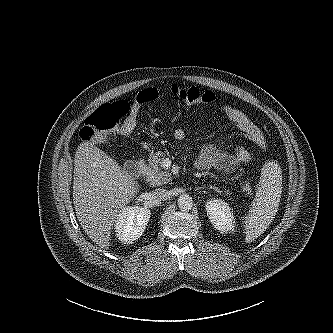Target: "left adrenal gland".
Returning a JSON list of instances; mask_svg holds the SVG:
<instances>
[{
	"mask_svg": "<svg viewBox=\"0 0 333 333\" xmlns=\"http://www.w3.org/2000/svg\"><path fill=\"white\" fill-rule=\"evenodd\" d=\"M201 189H204V187H197V188H195V191H198V190H201Z\"/></svg>",
	"mask_w": 333,
	"mask_h": 333,
	"instance_id": "obj_1",
	"label": "left adrenal gland"
}]
</instances>
